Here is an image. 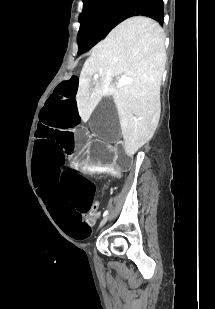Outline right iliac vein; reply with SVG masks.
Instances as JSON below:
<instances>
[{
    "instance_id": "obj_1",
    "label": "right iliac vein",
    "mask_w": 215,
    "mask_h": 309,
    "mask_svg": "<svg viewBox=\"0 0 215 309\" xmlns=\"http://www.w3.org/2000/svg\"><path fill=\"white\" fill-rule=\"evenodd\" d=\"M110 215L108 214L105 218L102 219L99 228H101L109 219Z\"/></svg>"
}]
</instances>
